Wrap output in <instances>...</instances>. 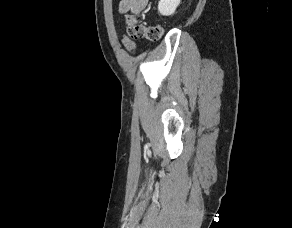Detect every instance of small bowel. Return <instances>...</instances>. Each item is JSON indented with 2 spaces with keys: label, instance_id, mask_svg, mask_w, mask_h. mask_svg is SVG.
<instances>
[{
  "label": "small bowel",
  "instance_id": "1",
  "mask_svg": "<svg viewBox=\"0 0 292 228\" xmlns=\"http://www.w3.org/2000/svg\"><path fill=\"white\" fill-rule=\"evenodd\" d=\"M148 4V0H120L118 10L120 14L133 12L140 14ZM123 43L129 50H134L135 44L128 37H124Z\"/></svg>",
  "mask_w": 292,
  "mask_h": 228
}]
</instances>
